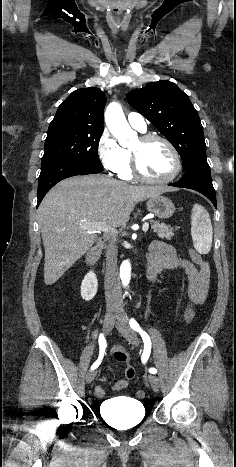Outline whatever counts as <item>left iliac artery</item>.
Returning a JSON list of instances; mask_svg holds the SVG:
<instances>
[{
	"label": "left iliac artery",
	"instance_id": "left-iliac-artery-1",
	"mask_svg": "<svg viewBox=\"0 0 236 467\" xmlns=\"http://www.w3.org/2000/svg\"><path fill=\"white\" fill-rule=\"evenodd\" d=\"M130 327L138 332L142 339H143V342H144V351H143V354H142V361L143 362H146L150 356V352H151V340H150V337L149 335L143 331V329L140 327V325L138 324V322L134 319V318H131L130 319ZM149 372L152 373V374H155L157 372V370L155 368H150L149 369Z\"/></svg>",
	"mask_w": 236,
	"mask_h": 467
}]
</instances>
